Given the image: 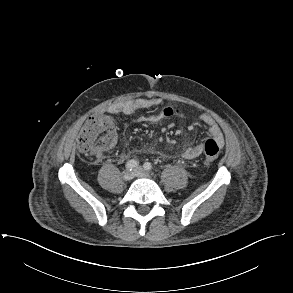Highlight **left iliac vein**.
Masks as SVG:
<instances>
[{
  "label": "left iliac vein",
  "mask_w": 293,
  "mask_h": 293,
  "mask_svg": "<svg viewBox=\"0 0 293 293\" xmlns=\"http://www.w3.org/2000/svg\"><path fill=\"white\" fill-rule=\"evenodd\" d=\"M134 175L137 177H150L149 173H147L142 167H137L134 170Z\"/></svg>",
  "instance_id": "1"
}]
</instances>
